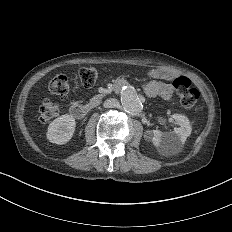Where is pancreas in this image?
<instances>
[{
	"instance_id": "cf45deb5",
	"label": "pancreas",
	"mask_w": 232,
	"mask_h": 232,
	"mask_svg": "<svg viewBox=\"0 0 232 232\" xmlns=\"http://www.w3.org/2000/svg\"><path fill=\"white\" fill-rule=\"evenodd\" d=\"M102 98L101 94L95 95L92 98V101L88 104L90 107H94L95 105L99 104L100 99Z\"/></svg>"
}]
</instances>
